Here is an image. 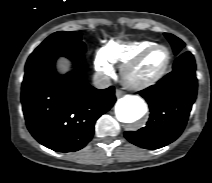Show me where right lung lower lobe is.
Returning <instances> with one entry per match:
<instances>
[{
	"mask_svg": "<svg viewBox=\"0 0 212 183\" xmlns=\"http://www.w3.org/2000/svg\"><path fill=\"white\" fill-rule=\"evenodd\" d=\"M65 56L79 64L83 55L45 53L30 56L25 66L21 102L26 125L42 145L59 152L83 148L96 120L115 103L111 86L99 90L77 73L57 74L55 61Z\"/></svg>",
	"mask_w": 212,
	"mask_h": 183,
	"instance_id": "obj_1",
	"label": "right lung lower lobe"
}]
</instances>
